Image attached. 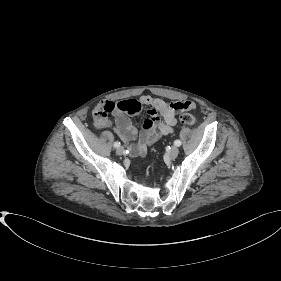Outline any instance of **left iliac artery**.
<instances>
[{
    "label": "left iliac artery",
    "instance_id": "44dca946",
    "mask_svg": "<svg viewBox=\"0 0 281 281\" xmlns=\"http://www.w3.org/2000/svg\"><path fill=\"white\" fill-rule=\"evenodd\" d=\"M174 145H176V146H181V141H180V140H175V141H174Z\"/></svg>",
    "mask_w": 281,
    "mask_h": 281
}]
</instances>
